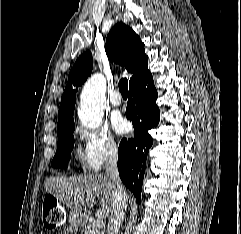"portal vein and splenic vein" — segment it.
I'll use <instances>...</instances> for the list:
<instances>
[{"label":"portal vein and splenic vein","instance_id":"18ae733b","mask_svg":"<svg viewBox=\"0 0 241 234\" xmlns=\"http://www.w3.org/2000/svg\"><path fill=\"white\" fill-rule=\"evenodd\" d=\"M103 225H104V222L102 219H96L92 223V226L99 230L103 228Z\"/></svg>","mask_w":241,"mask_h":234}]
</instances>
